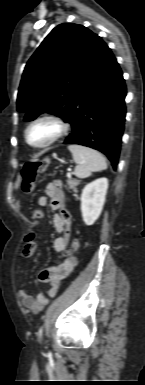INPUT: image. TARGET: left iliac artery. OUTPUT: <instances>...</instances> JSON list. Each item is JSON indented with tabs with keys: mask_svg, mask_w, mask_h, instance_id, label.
Returning <instances> with one entry per match:
<instances>
[{
	"mask_svg": "<svg viewBox=\"0 0 145 385\" xmlns=\"http://www.w3.org/2000/svg\"><path fill=\"white\" fill-rule=\"evenodd\" d=\"M39 335L42 336V329L39 330Z\"/></svg>",
	"mask_w": 145,
	"mask_h": 385,
	"instance_id": "obj_1",
	"label": "left iliac artery"
}]
</instances>
